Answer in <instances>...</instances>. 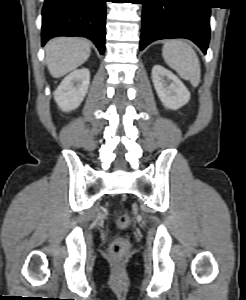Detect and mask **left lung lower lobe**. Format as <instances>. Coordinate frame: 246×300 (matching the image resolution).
Listing matches in <instances>:
<instances>
[{
    "label": "left lung lower lobe",
    "instance_id": "1",
    "mask_svg": "<svg viewBox=\"0 0 246 300\" xmlns=\"http://www.w3.org/2000/svg\"><path fill=\"white\" fill-rule=\"evenodd\" d=\"M140 50L160 39L186 38L206 54L210 38V6L206 0H142Z\"/></svg>",
    "mask_w": 246,
    "mask_h": 300
}]
</instances>
